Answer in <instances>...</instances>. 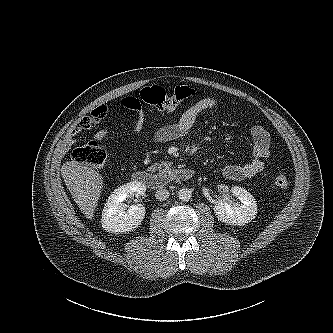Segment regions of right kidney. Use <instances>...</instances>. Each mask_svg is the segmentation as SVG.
<instances>
[{"label":"right kidney","mask_w":333,"mask_h":333,"mask_svg":"<svg viewBox=\"0 0 333 333\" xmlns=\"http://www.w3.org/2000/svg\"><path fill=\"white\" fill-rule=\"evenodd\" d=\"M146 187L140 182H129L117 189L108 197L102 211V227L107 232L124 233L133 231L143 221L146 209L142 204L132 205L126 210L123 201L132 196H143Z\"/></svg>","instance_id":"right-kidney-1"}]
</instances>
